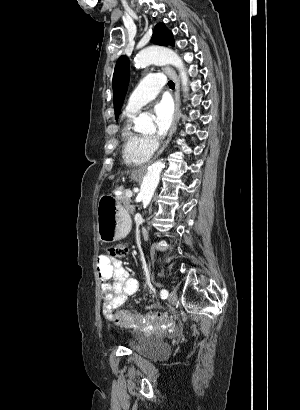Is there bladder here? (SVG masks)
Listing matches in <instances>:
<instances>
[{
  "instance_id": "31cf9c89",
  "label": "bladder",
  "mask_w": 300,
  "mask_h": 410,
  "mask_svg": "<svg viewBox=\"0 0 300 410\" xmlns=\"http://www.w3.org/2000/svg\"><path fill=\"white\" fill-rule=\"evenodd\" d=\"M132 351L146 357H157L169 353L170 347L164 342L135 343L132 346Z\"/></svg>"
}]
</instances>
